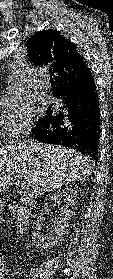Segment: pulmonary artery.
I'll list each match as a JSON object with an SVG mask.
<instances>
[{
  "instance_id": "1",
  "label": "pulmonary artery",
  "mask_w": 113,
  "mask_h": 279,
  "mask_svg": "<svg viewBox=\"0 0 113 279\" xmlns=\"http://www.w3.org/2000/svg\"><path fill=\"white\" fill-rule=\"evenodd\" d=\"M47 86L44 87L43 93H42V98L46 103H51L53 102V96L47 91Z\"/></svg>"
}]
</instances>
